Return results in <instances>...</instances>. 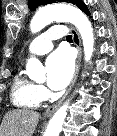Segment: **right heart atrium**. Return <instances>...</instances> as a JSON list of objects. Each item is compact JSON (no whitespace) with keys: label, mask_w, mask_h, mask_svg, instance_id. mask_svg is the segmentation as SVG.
Wrapping results in <instances>:
<instances>
[{"label":"right heart atrium","mask_w":117,"mask_h":136,"mask_svg":"<svg viewBox=\"0 0 117 136\" xmlns=\"http://www.w3.org/2000/svg\"><path fill=\"white\" fill-rule=\"evenodd\" d=\"M38 89H39V92H40V94H41V96H42V98H46L47 97V90L43 87V86H38Z\"/></svg>","instance_id":"d8ad5b80"}]
</instances>
